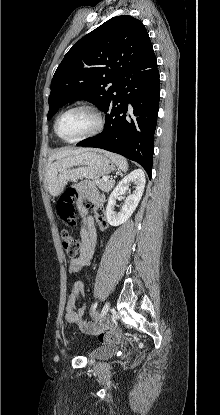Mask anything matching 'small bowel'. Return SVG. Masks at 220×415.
I'll list each match as a JSON object with an SVG mask.
<instances>
[{"mask_svg":"<svg viewBox=\"0 0 220 415\" xmlns=\"http://www.w3.org/2000/svg\"><path fill=\"white\" fill-rule=\"evenodd\" d=\"M79 193V199L77 201V207L81 217V230H80V256L76 260H71L69 265V271L71 273L79 272L91 265L96 247V230L95 225L100 230H105L108 227V223L105 215L100 218L91 213L93 207H103L105 204V197L99 192L91 181H81L76 186ZM84 288L81 283H76L75 289L70 292L67 298L66 304V316L65 319L69 324L77 326L83 333L89 335H99L105 333L108 326L100 323L94 325L89 323L85 319V307L84 304H79V300L83 297ZM111 339L99 341L107 344Z\"/></svg>","mask_w":220,"mask_h":415,"instance_id":"small-bowel-1","label":"small bowel"}]
</instances>
